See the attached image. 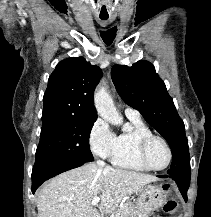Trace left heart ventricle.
Masks as SVG:
<instances>
[{
    "instance_id": "left-heart-ventricle-1",
    "label": "left heart ventricle",
    "mask_w": 211,
    "mask_h": 217,
    "mask_svg": "<svg viewBox=\"0 0 211 217\" xmlns=\"http://www.w3.org/2000/svg\"><path fill=\"white\" fill-rule=\"evenodd\" d=\"M168 157V150L161 141L155 140L151 143L148 149V159L154 167H164L168 162Z\"/></svg>"
}]
</instances>
